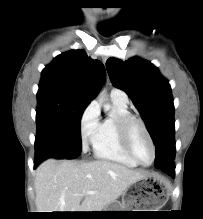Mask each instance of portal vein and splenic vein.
<instances>
[{
	"label": "portal vein and splenic vein",
	"mask_w": 203,
	"mask_h": 219,
	"mask_svg": "<svg viewBox=\"0 0 203 219\" xmlns=\"http://www.w3.org/2000/svg\"><path fill=\"white\" fill-rule=\"evenodd\" d=\"M86 193L87 194H95L96 192L95 191H87Z\"/></svg>",
	"instance_id": "portal-vein-and-splenic-vein-1"
}]
</instances>
